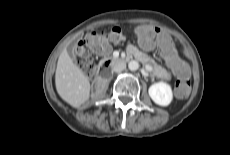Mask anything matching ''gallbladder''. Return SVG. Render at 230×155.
Wrapping results in <instances>:
<instances>
[{"label": "gallbladder", "mask_w": 230, "mask_h": 155, "mask_svg": "<svg viewBox=\"0 0 230 155\" xmlns=\"http://www.w3.org/2000/svg\"><path fill=\"white\" fill-rule=\"evenodd\" d=\"M75 46H76V40L73 41L67 48V51H68V54L70 56H73L74 55V49H75Z\"/></svg>", "instance_id": "1"}]
</instances>
